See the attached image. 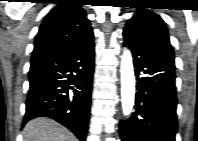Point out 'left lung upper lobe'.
Returning <instances> with one entry per match:
<instances>
[{
	"instance_id": "5c2ea615",
	"label": "left lung upper lobe",
	"mask_w": 198,
	"mask_h": 141,
	"mask_svg": "<svg viewBox=\"0 0 198 141\" xmlns=\"http://www.w3.org/2000/svg\"><path fill=\"white\" fill-rule=\"evenodd\" d=\"M136 8L139 9L136 11V14L128 20L124 34L146 45H169L172 47L163 19L153 12L142 9L146 7L136 6Z\"/></svg>"
}]
</instances>
